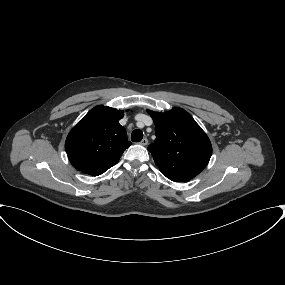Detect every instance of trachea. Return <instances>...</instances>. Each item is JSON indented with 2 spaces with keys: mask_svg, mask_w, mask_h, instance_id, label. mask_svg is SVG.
<instances>
[{
  "mask_svg": "<svg viewBox=\"0 0 285 285\" xmlns=\"http://www.w3.org/2000/svg\"><path fill=\"white\" fill-rule=\"evenodd\" d=\"M143 138V132L139 129H136L131 134V140L133 142H140Z\"/></svg>",
  "mask_w": 285,
  "mask_h": 285,
  "instance_id": "3493384b",
  "label": "trachea"
}]
</instances>
